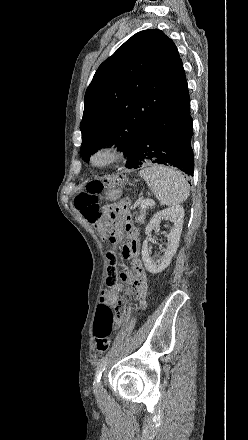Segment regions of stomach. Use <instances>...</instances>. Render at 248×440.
<instances>
[{
    "label": "stomach",
    "mask_w": 248,
    "mask_h": 440,
    "mask_svg": "<svg viewBox=\"0 0 248 440\" xmlns=\"http://www.w3.org/2000/svg\"><path fill=\"white\" fill-rule=\"evenodd\" d=\"M122 196V190L116 187H109L105 191V197L109 201H116Z\"/></svg>",
    "instance_id": "1"
}]
</instances>
